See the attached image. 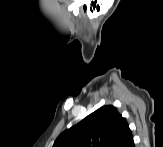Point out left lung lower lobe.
<instances>
[{
	"mask_svg": "<svg viewBox=\"0 0 163 147\" xmlns=\"http://www.w3.org/2000/svg\"><path fill=\"white\" fill-rule=\"evenodd\" d=\"M114 147H134L133 136L129 126H127Z\"/></svg>",
	"mask_w": 163,
	"mask_h": 147,
	"instance_id": "obj_1",
	"label": "left lung lower lobe"
}]
</instances>
